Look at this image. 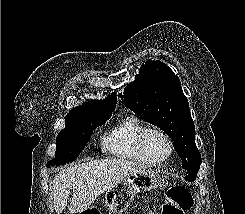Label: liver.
<instances>
[{"label": "liver", "mask_w": 245, "mask_h": 214, "mask_svg": "<svg viewBox=\"0 0 245 214\" xmlns=\"http://www.w3.org/2000/svg\"><path fill=\"white\" fill-rule=\"evenodd\" d=\"M139 169L134 162L125 159L90 160L61 170L53 180V201L57 214L69 205L71 214L81 213L105 191L115 187L129 174Z\"/></svg>", "instance_id": "1"}]
</instances>
